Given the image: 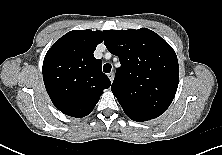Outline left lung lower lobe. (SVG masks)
I'll list each match as a JSON object with an SVG mask.
<instances>
[{
	"mask_svg": "<svg viewBox=\"0 0 222 155\" xmlns=\"http://www.w3.org/2000/svg\"><path fill=\"white\" fill-rule=\"evenodd\" d=\"M131 119L134 120V121H138V122H142V121H144V120L139 119V118H131Z\"/></svg>",
	"mask_w": 222,
	"mask_h": 155,
	"instance_id": "0a47b994",
	"label": "left lung lower lobe"
}]
</instances>
